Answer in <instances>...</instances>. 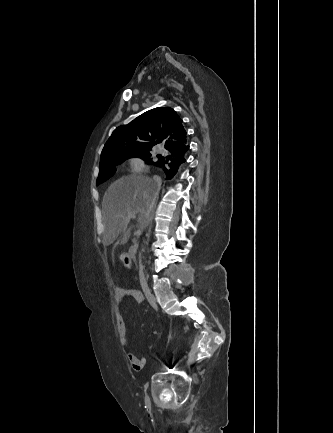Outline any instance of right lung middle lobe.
Returning a JSON list of instances; mask_svg holds the SVG:
<instances>
[{"mask_svg": "<svg viewBox=\"0 0 333 433\" xmlns=\"http://www.w3.org/2000/svg\"><path fill=\"white\" fill-rule=\"evenodd\" d=\"M151 149L146 150H132L127 152H121L113 154L105 159L100 160V171L99 176L97 178V185L103 183L107 179H109L116 171V166L121 164L128 158L138 157L141 158L148 163L151 162ZM152 164H156V162H151Z\"/></svg>", "mask_w": 333, "mask_h": 433, "instance_id": "obj_1", "label": "right lung middle lobe"}]
</instances>
